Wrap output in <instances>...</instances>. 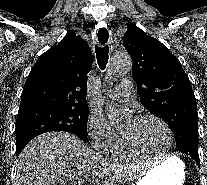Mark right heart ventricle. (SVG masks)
I'll list each match as a JSON object with an SVG mask.
<instances>
[{"instance_id": "e07e8e85", "label": "right heart ventricle", "mask_w": 207, "mask_h": 185, "mask_svg": "<svg viewBox=\"0 0 207 185\" xmlns=\"http://www.w3.org/2000/svg\"><path fill=\"white\" fill-rule=\"evenodd\" d=\"M106 154L114 161H127L138 158L126 150L121 137L110 146Z\"/></svg>"}]
</instances>
